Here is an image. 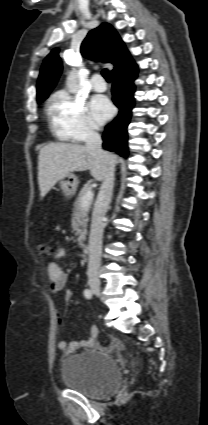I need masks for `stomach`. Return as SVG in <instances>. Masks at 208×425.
<instances>
[{"mask_svg":"<svg viewBox=\"0 0 208 425\" xmlns=\"http://www.w3.org/2000/svg\"><path fill=\"white\" fill-rule=\"evenodd\" d=\"M78 183V178L74 174L70 173L63 177L60 181V187L63 194L67 197L72 196L76 192Z\"/></svg>","mask_w":208,"mask_h":425,"instance_id":"stomach-1","label":"stomach"}]
</instances>
